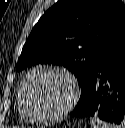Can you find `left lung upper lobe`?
I'll use <instances>...</instances> for the list:
<instances>
[{
	"mask_svg": "<svg viewBox=\"0 0 125 128\" xmlns=\"http://www.w3.org/2000/svg\"><path fill=\"white\" fill-rule=\"evenodd\" d=\"M123 29L121 0H59L32 29L16 70L39 63L61 65L74 73L82 89Z\"/></svg>",
	"mask_w": 125,
	"mask_h": 128,
	"instance_id": "1",
	"label": "left lung upper lobe"
}]
</instances>
